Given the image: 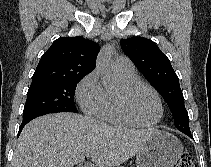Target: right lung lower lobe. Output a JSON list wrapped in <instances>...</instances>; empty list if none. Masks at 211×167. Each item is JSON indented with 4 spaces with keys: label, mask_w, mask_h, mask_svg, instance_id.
Wrapping results in <instances>:
<instances>
[{
    "label": "right lung lower lobe",
    "mask_w": 211,
    "mask_h": 167,
    "mask_svg": "<svg viewBox=\"0 0 211 167\" xmlns=\"http://www.w3.org/2000/svg\"><path fill=\"white\" fill-rule=\"evenodd\" d=\"M31 120H32V119H31ZM31 120L23 121V122L21 123L20 128H19V132H18V136H19L20 132L22 131L23 127H24L29 121H31Z\"/></svg>",
    "instance_id": "98d812e1"
}]
</instances>
